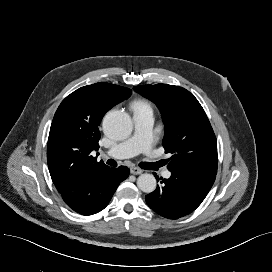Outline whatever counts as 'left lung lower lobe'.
Masks as SVG:
<instances>
[{
	"label": "left lung lower lobe",
	"instance_id": "1",
	"mask_svg": "<svg viewBox=\"0 0 272 272\" xmlns=\"http://www.w3.org/2000/svg\"><path fill=\"white\" fill-rule=\"evenodd\" d=\"M169 179L145 199L148 206L159 215L178 219L193 212L211 189L216 175L200 171H171Z\"/></svg>",
	"mask_w": 272,
	"mask_h": 272
}]
</instances>
